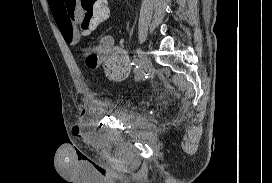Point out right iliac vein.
<instances>
[{"instance_id":"right-iliac-vein-1","label":"right iliac vein","mask_w":272,"mask_h":183,"mask_svg":"<svg viewBox=\"0 0 272 183\" xmlns=\"http://www.w3.org/2000/svg\"><path fill=\"white\" fill-rule=\"evenodd\" d=\"M138 54H139V58H140V63H139V68L142 69V72L137 76L138 79H141L145 73V71L147 70L148 67V58L145 54V52H143L141 49H138Z\"/></svg>"}]
</instances>
